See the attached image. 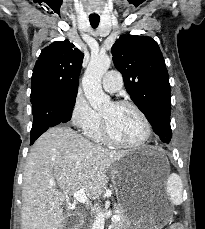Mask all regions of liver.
<instances>
[{
  "instance_id": "6515ba94",
  "label": "liver",
  "mask_w": 205,
  "mask_h": 229,
  "mask_svg": "<svg viewBox=\"0 0 205 229\" xmlns=\"http://www.w3.org/2000/svg\"><path fill=\"white\" fill-rule=\"evenodd\" d=\"M127 154L97 146L66 126L48 129L26 159L21 229H62L66 194L83 189L90 199L98 198L111 164Z\"/></svg>"
}]
</instances>
